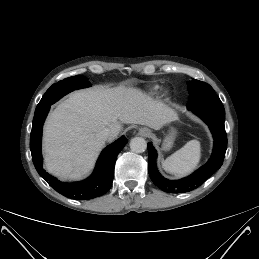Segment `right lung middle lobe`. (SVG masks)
<instances>
[{"instance_id": "1", "label": "right lung middle lobe", "mask_w": 259, "mask_h": 259, "mask_svg": "<svg viewBox=\"0 0 259 259\" xmlns=\"http://www.w3.org/2000/svg\"><path fill=\"white\" fill-rule=\"evenodd\" d=\"M91 86L87 79L81 75L66 78L55 84H53L44 94L39 104L37 105L36 111L41 110L44 107L50 106L61 97L68 94L69 92L81 88Z\"/></svg>"}]
</instances>
